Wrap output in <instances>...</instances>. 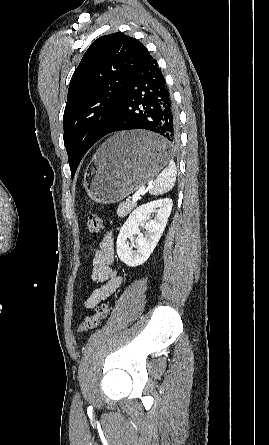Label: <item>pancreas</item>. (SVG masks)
<instances>
[{
	"label": "pancreas",
	"mask_w": 269,
	"mask_h": 445,
	"mask_svg": "<svg viewBox=\"0 0 269 445\" xmlns=\"http://www.w3.org/2000/svg\"><path fill=\"white\" fill-rule=\"evenodd\" d=\"M136 207V202H122L117 210L119 217H124Z\"/></svg>",
	"instance_id": "cf45deb5"
}]
</instances>
